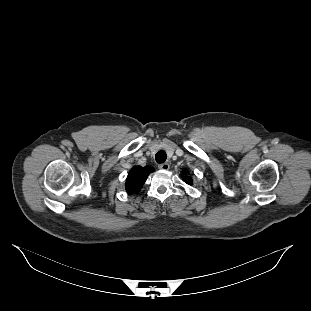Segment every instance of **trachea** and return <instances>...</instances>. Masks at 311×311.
Segmentation results:
<instances>
[{"instance_id": "3493384b", "label": "trachea", "mask_w": 311, "mask_h": 311, "mask_svg": "<svg viewBox=\"0 0 311 311\" xmlns=\"http://www.w3.org/2000/svg\"><path fill=\"white\" fill-rule=\"evenodd\" d=\"M167 159V154L164 150H160L155 155V160L157 163H164Z\"/></svg>"}]
</instances>
